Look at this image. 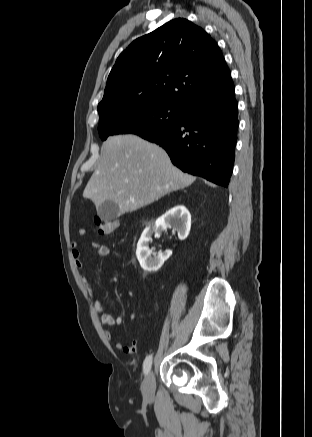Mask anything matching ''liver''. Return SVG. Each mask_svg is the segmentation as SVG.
<instances>
[{"label": "liver", "mask_w": 312, "mask_h": 437, "mask_svg": "<svg viewBox=\"0 0 312 437\" xmlns=\"http://www.w3.org/2000/svg\"><path fill=\"white\" fill-rule=\"evenodd\" d=\"M194 180V176L176 168L158 145L136 135H116L102 145L98 166L83 197L96 208L106 200L114 201L124 214L185 188Z\"/></svg>", "instance_id": "1"}]
</instances>
